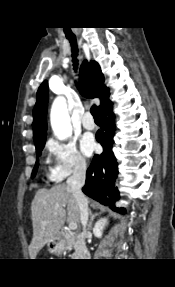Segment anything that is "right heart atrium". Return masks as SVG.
I'll use <instances>...</instances> for the list:
<instances>
[{"label": "right heart atrium", "instance_id": "obj_1", "mask_svg": "<svg viewBox=\"0 0 175 287\" xmlns=\"http://www.w3.org/2000/svg\"><path fill=\"white\" fill-rule=\"evenodd\" d=\"M46 149L52 159L49 169L51 181H62L69 175L83 172L87 168V161L73 140L60 141L51 138L46 144Z\"/></svg>", "mask_w": 175, "mask_h": 287}]
</instances>
